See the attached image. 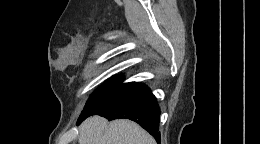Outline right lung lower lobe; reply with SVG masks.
I'll return each mask as SVG.
<instances>
[{"mask_svg": "<svg viewBox=\"0 0 260 144\" xmlns=\"http://www.w3.org/2000/svg\"><path fill=\"white\" fill-rule=\"evenodd\" d=\"M91 115H100L108 120L126 118L146 129L160 142V108L150 89L141 83H129L116 95L97 107L88 116L78 119V123Z\"/></svg>", "mask_w": 260, "mask_h": 144, "instance_id": "right-lung-lower-lobe-1", "label": "right lung lower lobe"}]
</instances>
